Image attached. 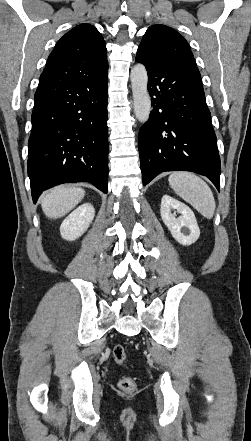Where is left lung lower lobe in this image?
Wrapping results in <instances>:
<instances>
[{
	"label": "left lung lower lobe",
	"mask_w": 251,
	"mask_h": 441,
	"mask_svg": "<svg viewBox=\"0 0 251 441\" xmlns=\"http://www.w3.org/2000/svg\"><path fill=\"white\" fill-rule=\"evenodd\" d=\"M148 71L153 109L139 131L143 185L165 171H191L219 190L220 157L201 76L136 55Z\"/></svg>",
	"instance_id": "1"
}]
</instances>
